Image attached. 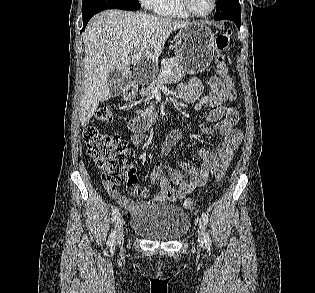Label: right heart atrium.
<instances>
[{"mask_svg":"<svg viewBox=\"0 0 315 293\" xmlns=\"http://www.w3.org/2000/svg\"><path fill=\"white\" fill-rule=\"evenodd\" d=\"M142 6L148 10H155L158 0H139Z\"/></svg>","mask_w":315,"mask_h":293,"instance_id":"d8ad5b80","label":"right heart atrium"}]
</instances>
